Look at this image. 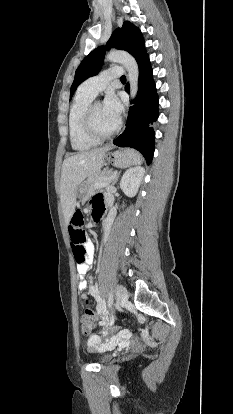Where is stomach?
Masks as SVG:
<instances>
[{"instance_id": "0dacf381", "label": "stomach", "mask_w": 233, "mask_h": 414, "mask_svg": "<svg viewBox=\"0 0 233 414\" xmlns=\"http://www.w3.org/2000/svg\"><path fill=\"white\" fill-rule=\"evenodd\" d=\"M106 160L115 167H128L133 164L135 156L127 151H115L105 154ZM90 193L88 192L87 184L82 183L77 189V197L80 201L88 200Z\"/></svg>"}]
</instances>
